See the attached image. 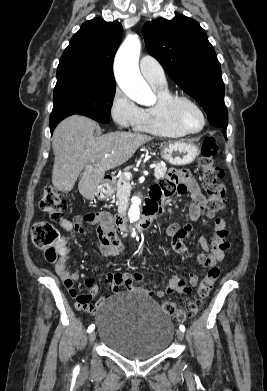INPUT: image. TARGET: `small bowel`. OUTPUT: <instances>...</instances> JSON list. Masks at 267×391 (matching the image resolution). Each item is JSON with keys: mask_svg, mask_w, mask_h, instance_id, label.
I'll return each instance as SVG.
<instances>
[{"mask_svg": "<svg viewBox=\"0 0 267 391\" xmlns=\"http://www.w3.org/2000/svg\"><path fill=\"white\" fill-rule=\"evenodd\" d=\"M189 194L191 202L188 206L189 218L192 221L198 220L203 216L206 208V198L200 191V188L193 176L186 170L171 169L166 177L150 189V202L156 206L158 210L161 208L162 202L174 195ZM99 223L98 235L100 238L99 250L104 257H118L122 254L123 246L116 237L113 227V216L107 211L97 213H87L83 216H76L72 220L63 219L60 221V227L65 232L83 233L84 224ZM191 225L186 224L181 226L173 223L167 227L166 233L169 235L176 245L178 255L185 257L187 249L182 244V241L189 235ZM199 244L203 250L198 256L199 264L204 268H212L224 258V252L230 247L229 232L226 229L225 222L222 219H217L214 226V236L211 242H208L204 237H199ZM68 237L61 236L55 245V250L58 259L55 263V271L65 286L70 291V294L76 298L77 306L86 312L93 313L103 303V299L95 303L92 302L94 296L98 292L96 280L93 277L85 279V286L88 290L87 294H79L75 288V283L80 279L81 274L77 271H70L67 268L68 255ZM107 280L110 285V290L115 292L119 287L124 286L130 290H136L149 298H162L168 294L180 293L190 294L192 287L198 283V275L191 273L189 284L177 275H173L169 283L164 287L154 285L152 289L136 288L131 282V275L128 273L107 274ZM119 277V280L117 279Z\"/></svg>", "mask_w": 267, "mask_h": 391, "instance_id": "obj_1", "label": "small bowel"}]
</instances>
